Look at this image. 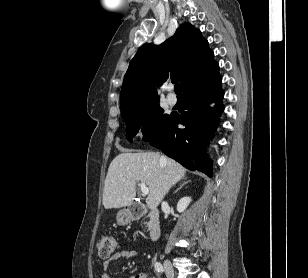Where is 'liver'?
Wrapping results in <instances>:
<instances>
[{"label":"liver","instance_id":"1","mask_svg":"<svg viewBox=\"0 0 308 278\" xmlns=\"http://www.w3.org/2000/svg\"><path fill=\"white\" fill-rule=\"evenodd\" d=\"M155 152L117 155L111 162L103 190L105 209L121 208L132 204L136 196V182L149 188L146 198L148 208L155 209L169 189L184 177L186 170L171 158L161 161Z\"/></svg>","mask_w":308,"mask_h":278}]
</instances>
